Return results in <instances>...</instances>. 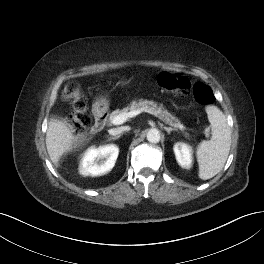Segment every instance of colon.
I'll list each match as a JSON object with an SVG mask.
<instances>
[{
	"label": "colon",
	"instance_id": "1",
	"mask_svg": "<svg viewBox=\"0 0 264 264\" xmlns=\"http://www.w3.org/2000/svg\"><path fill=\"white\" fill-rule=\"evenodd\" d=\"M158 84L171 92L184 95L188 92L192 94L193 99L202 105H208L213 102V92L209 86L203 83H191L190 80L180 74L162 73L158 76ZM65 98L71 103L73 114L67 122L74 132L83 133L91 123L87 114V101L82 91L76 84H69L64 92Z\"/></svg>",
	"mask_w": 264,
	"mask_h": 264
}]
</instances>
